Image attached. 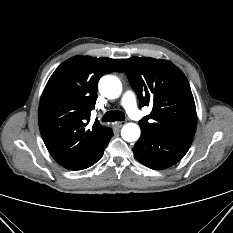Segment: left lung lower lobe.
I'll return each mask as SVG.
<instances>
[{"label": "left lung lower lobe", "mask_w": 233, "mask_h": 233, "mask_svg": "<svg viewBox=\"0 0 233 233\" xmlns=\"http://www.w3.org/2000/svg\"><path fill=\"white\" fill-rule=\"evenodd\" d=\"M192 139L174 138L141 129V137L133 152L136 158L151 169L173 166L187 153Z\"/></svg>", "instance_id": "0a47b994"}]
</instances>
